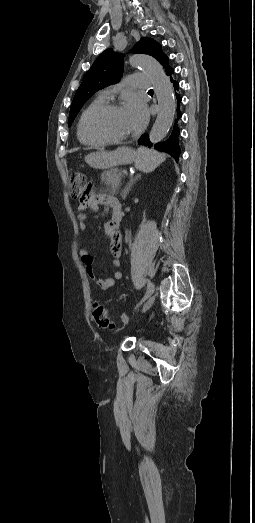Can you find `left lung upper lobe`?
<instances>
[{
	"label": "left lung upper lobe",
	"instance_id": "1",
	"mask_svg": "<svg viewBox=\"0 0 255 523\" xmlns=\"http://www.w3.org/2000/svg\"><path fill=\"white\" fill-rule=\"evenodd\" d=\"M134 52L148 54L156 58L163 65L167 75H171L174 72V70L168 65V57L163 53L161 45L152 38H141V40L135 45ZM122 72L123 58L121 54L115 53L113 49H107L101 53L83 78V81L74 96L70 107L68 126L72 124L84 103L96 91L110 84L117 83L120 80ZM142 137L149 136L148 134H144ZM177 137L179 145V135H177ZM169 154L172 156V153Z\"/></svg>",
	"mask_w": 255,
	"mask_h": 523
}]
</instances>
